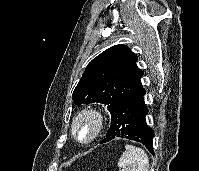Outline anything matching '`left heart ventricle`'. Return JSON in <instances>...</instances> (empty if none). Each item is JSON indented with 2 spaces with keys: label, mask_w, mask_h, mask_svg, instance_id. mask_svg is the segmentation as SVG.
<instances>
[{
  "label": "left heart ventricle",
  "mask_w": 199,
  "mask_h": 171,
  "mask_svg": "<svg viewBox=\"0 0 199 171\" xmlns=\"http://www.w3.org/2000/svg\"><path fill=\"white\" fill-rule=\"evenodd\" d=\"M77 132L81 139H86L91 135L92 126L89 121H84L79 124Z\"/></svg>",
  "instance_id": "left-heart-ventricle-1"
}]
</instances>
